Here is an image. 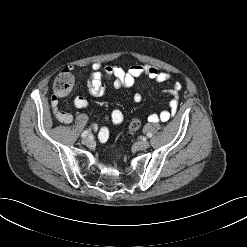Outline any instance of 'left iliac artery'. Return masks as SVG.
Wrapping results in <instances>:
<instances>
[{"instance_id":"obj_1","label":"left iliac artery","mask_w":247,"mask_h":247,"mask_svg":"<svg viewBox=\"0 0 247 247\" xmlns=\"http://www.w3.org/2000/svg\"><path fill=\"white\" fill-rule=\"evenodd\" d=\"M147 137H148V138H151V137H152V133H148V134H147Z\"/></svg>"}]
</instances>
